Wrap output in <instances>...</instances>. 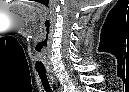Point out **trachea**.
<instances>
[{
	"mask_svg": "<svg viewBox=\"0 0 129 92\" xmlns=\"http://www.w3.org/2000/svg\"><path fill=\"white\" fill-rule=\"evenodd\" d=\"M38 72V75L41 79V82L43 84V87L45 89L46 92H52V89L49 85V81H48V78H47V75H46V72L45 71H37Z\"/></svg>",
	"mask_w": 129,
	"mask_h": 92,
	"instance_id": "trachea-1",
	"label": "trachea"
}]
</instances>
